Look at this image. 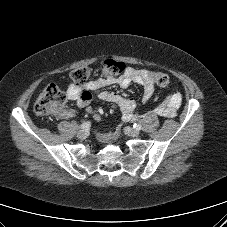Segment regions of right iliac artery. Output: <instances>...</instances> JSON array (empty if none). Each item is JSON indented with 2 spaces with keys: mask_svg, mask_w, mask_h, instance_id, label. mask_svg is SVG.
<instances>
[{
  "mask_svg": "<svg viewBox=\"0 0 227 227\" xmlns=\"http://www.w3.org/2000/svg\"><path fill=\"white\" fill-rule=\"evenodd\" d=\"M90 125H91V123L89 121L84 122L81 124V129H87L90 127Z\"/></svg>",
  "mask_w": 227,
  "mask_h": 227,
  "instance_id": "obj_1",
  "label": "right iliac artery"
}]
</instances>
